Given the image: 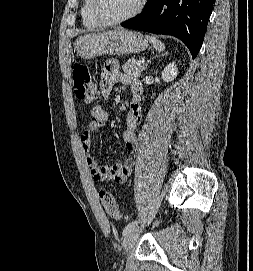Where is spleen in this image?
<instances>
[{
    "label": "spleen",
    "instance_id": "1",
    "mask_svg": "<svg viewBox=\"0 0 253 271\" xmlns=\"http://www.w3.org/2000/svg\"><path fill=\"white\" fill-rule=\"evenodd\" d=\"M146 39L153 45V47L155 49H157L159 51H162L165 49L164 44L160 40H158L157 38L146 35Z\"/></svg>",
    "mask_w": 253,
    "mask_h": 271
}]
</instances>
